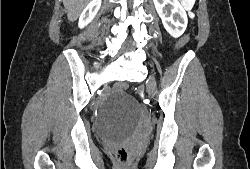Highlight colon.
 I'll return each instance as SVG.
<instances>
[{"label":"colon","mask_w":250,"mask_h":169,"mask_svg":"<svg viewBox=\"0 0 250 169\" xmlns=\"http://www.w3.org/2000/svg\"><path fill=\"white\" fill-rule=\"evenodd\" d=\"M188 36H183L178 41L177 44H173V49H171V54H176V51L179 50L184 44H189ZM121 90H128V85H121ZM116 150V160H119V166H122L123 169H132L134 166L133 155L130 150H125V145H118Z\"/></svg>","instance_id":"obj_1"}]
</instances>
